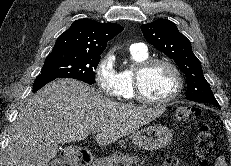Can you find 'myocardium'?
Listing matches in <instances>:
<instances>
[{
	"instance_id": "1",
	"label": "myocardium",
	"mask_w": 231,
	"mask_h": 166,
	"mask_svg": "<svg viewBox=\"0 0 231 166\" xmlns=\"http://www.w3.org/2000/svg\"><path fill=\"white\" fill-rule=\"evenodd\" d=\"M157 64L166 65L171 69L175 76L176 87L174 91L165 99H152L145 95L142 88V78L147 70ZM184 86L183 75L178 66L170 59L163 57L148 58L138 63L133 71V90L134 98L148 105L165 106L172 103L182 92Z\"/></svg>"
}]
</instances>
